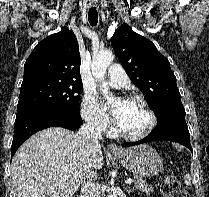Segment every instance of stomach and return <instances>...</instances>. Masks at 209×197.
Wrapping results in <instances>:
<instances>
[{
    "mask_svg": "<svg viewBox=\"0 0 209 197\" xmlns=\"http://www.w3.org/2000/svg\"><path fill=\"white\" fill-rule=\"evenodd\" d=\"M114 156L126 169L141 177L155 176L163 167L160 155L148 145L134 146Z\"/></svg>",
    "mask_w": 209,
    "mask_h": 197,
    "instance_id": "1",
    "label": "stomach"
}]
</instances>
